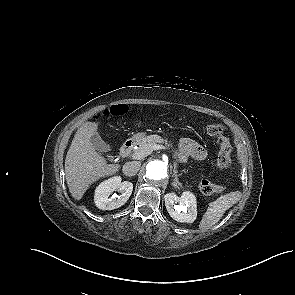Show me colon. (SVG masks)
Instances as JSON below:
<instances>
[{
	"label": "colon",
	"instance_id": "obj_1",
	"mask_svg": "<svg viewBox=\"0 0 295 295\" xmlns=\"http://www.w3.org/2000/svg\"><path fill=\"white\" fill-rule=\"evenodd\" d=\"M128 106L124 104L114 105L104 112L105 115L122 116L128 112ZM208 134L214 138L218 145L217 166L220 169H226L231 164V144L227 138L224 129L219 124H210L207 126ZM200 190L205 195L216 194L223 190V186L215 184L208 180H202Z\"/></svg>",
	"mask_w": 295,
	"mask_h": 295
}]
</instances>
